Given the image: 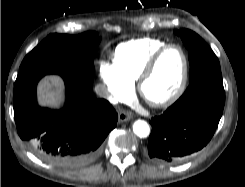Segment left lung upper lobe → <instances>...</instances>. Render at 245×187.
I'll return each instance as SVG.
<instances>
[{"label":"left lung upper lobe","instance_id":"left-lung-upper-lobe-1","mask_svg":"<svg viewBox=\"0 0 245 187\" xmlns=\"http://www.w3.org/2000/svg\"><path fill=\"white\" fill-rule=\"evenodd\" d=\"M176 34L182 38L184 45L188 49L190 63L189 82L206 73L220 69L218 58L199 35L187 29L176 31Z\"/></svg>","mask_w":245,"mask_h":187}]
</instances>
